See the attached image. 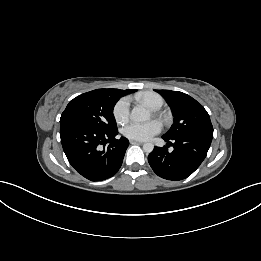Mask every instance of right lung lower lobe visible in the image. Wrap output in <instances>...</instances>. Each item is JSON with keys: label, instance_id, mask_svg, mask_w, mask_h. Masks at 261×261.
Returning <instances> with one entry per match:
<instances>
[{"label": "right lung lower lobe", "instance_id": "obj_1", "mask_svg": "<svg viewBox=\"0 0 261 261\" xmlns=\"http://www.w3.org/2000/svg\"><path fill=\"white\" fill-rule=\"evenodd\" d=\"M117 128L100 131L88 126L60 123L63 150L71 166L91 181H102L120 169L129 141L116 139Z\"/></svg>", "mask_w": 261, "mask_h": 261}]
</instances>
